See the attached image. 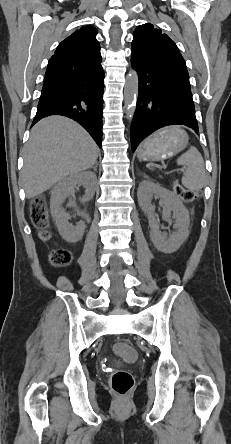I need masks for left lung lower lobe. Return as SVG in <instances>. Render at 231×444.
<instances>
[{
  "instance_id": "left-lung-lower-lobe-1",
  "label": "left lung lower lobe",
  "mask_w": 231,
  "mask_h": 444,
  "mask_svg": "<svg viewBox=\"0 0 231 444\" xmlns=\"http://www.w3.org/2000/svg\"><path fill=\"white\" fill-rule=\"evenodd\" d=\"M139 79L137 108L131 125L132 151L155 130L186 125L198 132L189 79L169 66L131 57Z\"/></svg>"
}]
</instances>
